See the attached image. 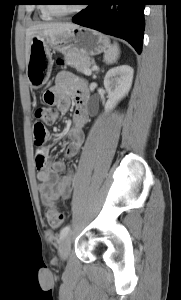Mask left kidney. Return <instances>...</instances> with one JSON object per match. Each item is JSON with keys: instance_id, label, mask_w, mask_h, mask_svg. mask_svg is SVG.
<instances>
[{"instance_id": "obj_1", "label": "left kidney", "mask_w": 181, "mask_h": 300, "mask_svg": "<svg viewBox=\"0 0 181 300\" xmlns=\"http://www.w3.org/2000/svg\"><path fill=\"white\" fill-rule=\"evenodd\" d=\"M134 70L129 65H120L110 69L104 78V87L108 93L105 111L113 109L129 92Z\"/></svg>"}]
</instances>
